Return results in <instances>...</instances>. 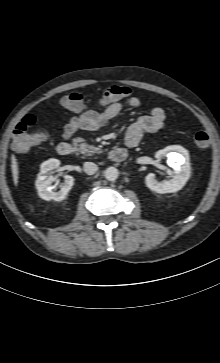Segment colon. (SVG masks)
I'll return each instance as SVG.
<instances>
[{
    "mask_svg": "<svg viewBox=\"0 0 220 363\" xmlns=\"http://www.w3.org/2000/svg\"><path fill=\"white\" fill-rule=\"evenodd\" d=\"M131 93V89L127 86L112 85L100 93L99 102L108 104L122 101ZM61 104L69 110L78 111L84 106V96L80 92H70L62 98ZM36 123L37 117L34 114H28L17 124L13 131L12 148L14 151L27 152L46 139L45 133L32 131ZM194 141L199 147L205 148L210 144V136L205 131H198L194 134Z\"/></svg>",
    "mask_w": 220,
    "mask_h": 363,
    "instance_id": "5ec220e1",
    "label": "colon"
}]
</instances>
